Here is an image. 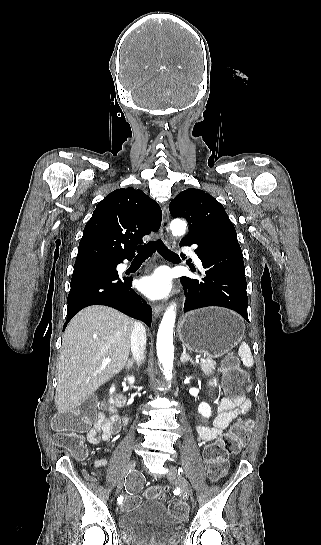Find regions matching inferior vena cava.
Returning a JSON list of instances; mask_svg holds the SVG:
<instances>
[{
  "label": "inferior vena cava",
  "mask_w": 321,
  "mask_h": 545,
  "mask_svg": "<svg viewBox=\"0 0 321 545\" xmlns=\"http://www.w3.org/2000/svg\"><path fill=\"white\" fill-rule=\"evenodd\" d=\"M146 331L141 323H134L131 335V351L138 365L145 359Z\"/></svg>",
  "instance_id": "obj_1"
}]
</instances>
